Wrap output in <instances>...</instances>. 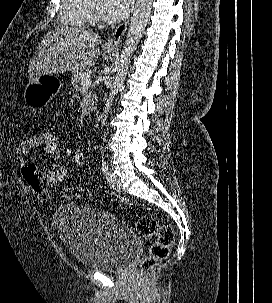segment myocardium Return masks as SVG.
Wrapping results in <instances>:
<instances>
[{
	"mask_svg": "<svg viewBox=\"0 0 272 303\" xmlns=\"http://www.w3.org/2000/svg\"><path fill=\"white\" fill-rule=\"evenodd\" d=\"M90 11H91L92 17H93L96 21H100V20H101L102 13H101V11L94 5L93 0H90Z\"/></svg>",
	"mask_w": 272,
	"mask_h": 303,
	"instance_id": "myocardium-1",
	"label": "myocardium"
}]
</instances>
